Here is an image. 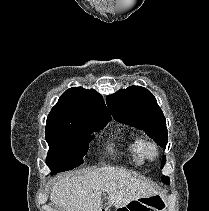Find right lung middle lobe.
Listing matches in <instances>:
<instances>
[{"mask_svg":"<svg viewBox=\"0 0 209 211\" xmlns=\"http://www.w3.org/2000/svg\"><path fill=\"white\" fill-rule=\"evenodd\" d=\"M111 118L86 121L73 125H46V141L49 152L46 164L51 174L67 171L81 165L88 151V144L94 138L91 131H99Z\"/></svg>","mask_w":209,"mask_h":211,"instance_id":"obj_1","label":"right lung middle lobe"}]
</instances>
